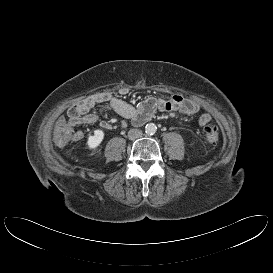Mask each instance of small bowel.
Returning <instances> with one entry per match:
<instances>
[{"label":"small bowel","instance_id":"obj_1","mask_svg":"<svg viewBox=\"0 0 273 273\" xmlns=\"http://www.w3.org/2000/svg\"><path fill=\"white\" fill-rule=\"evenodd\" d=\"M122 94H127L128 90L123 88ZM98 104H108L110 108L119 116L129 119L134 125H141L148 121L156 111H178L183 115L189 116L199 112V105L191 99L183 98L174 95L168 100L148 97L136 106L128 102L114 97L110 93H99L92 95L83 101L73 105L68 109V116L74 126L84 124H94L97 122L98 117L91 110ZM212 117L208 113H203L198 118V123L205 126L211 121ZM103 128H109L108 122H102ZM83 132L78 131L74 135L75 140H81Z\"/></svg>","mask_w":273,"mask_h":273}]
</instances>
